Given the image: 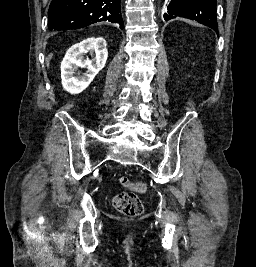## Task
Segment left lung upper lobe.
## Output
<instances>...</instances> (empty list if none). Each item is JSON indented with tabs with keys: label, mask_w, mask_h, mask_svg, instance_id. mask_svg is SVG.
<instances>
[{
	"label": "left lung upper lobe",
	"mask_w": 256,
	"mask_h": 267,
	"mask_svg": "<svg viewBox=\"0 0 256 267\" xmlns=\"http://www.w3.org/2000/svg\"><path fill=\"white\" fill-rule=\"evenodd\" d=\"M184 17L206 25L218 34L216 22V0H171L168 12L164 14L166 21Z\"/></svg>",
	"instance_id": "5c2ea615"
}]
</instances>
